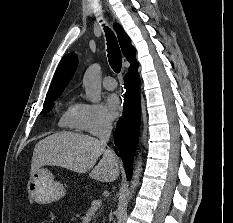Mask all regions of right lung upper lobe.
Segmentation results:
<instances>
[{
    "label": "right lung upper lobe",
    "instance_id": "obj_1",
    "mask_svg": "<svg viewBox=\"0 0 233 223\" xmlns=\"http://www.w3.org/2000/svg\"><path fill=\"white\" fill-rule=\"evenodd\" d=\"M114 28L117 31L122 52L126 59L131 63L130 69L137 67L135 50L131 45L129 37L118 24H114ZM77 61V56L74 53L66 54L62 58L54 74L52 84L43 106L54 103V101L61 95L76 70Z\"/></svg>",
    "mask_w": 233,
    "mask_h": 223
}]
</instances>
